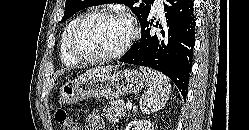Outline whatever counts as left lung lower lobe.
Here are the masks:
<instances>
[{
    "instance_id": "0a47b994",
    "label": "left lung lower lobe",
    "mask_w": 249,
    "mask_h": 130,
    "mask_svg": "<svg viewBox=\"0 0 249 130\" xmlns=\"http://www.w3.org/2000/svg\"><path fill=\"white\" fill-rule=\"evenodd\" d=\"M166 22L153 32L149 16L141 23V40L120 59L121 62L156 69L168 76L184 99L188 92L195 42V17L191 0H166ZM156 27V26H155Z\"/></svg>"
}]
</instances>
